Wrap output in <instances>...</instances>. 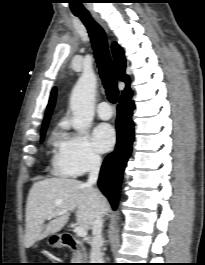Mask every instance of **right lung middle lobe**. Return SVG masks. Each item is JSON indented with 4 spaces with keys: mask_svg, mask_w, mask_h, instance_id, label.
Masks as SVG:
<instances>
[{
    "mask_svg": "<svg viewBox=\"0 0 205 265\" xmlns=\"http://www.w3.org/2000/svg\"><path fill=\"white\" fill-rule=\"evenodd\" d=\"M47 126L42 128V132H41V139L43 140L44 136H45V132H46Z\"/></svg>",
    "mask_w": 205,
    "mask_h": 265,
    "instance_id": "obj_1",
    "label": "right lung middle lobe"
}]
</instances>
